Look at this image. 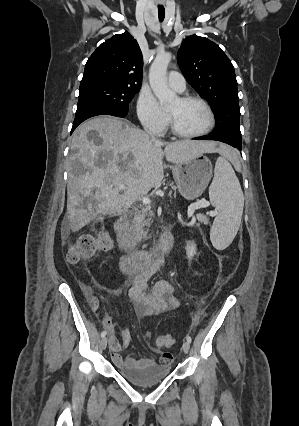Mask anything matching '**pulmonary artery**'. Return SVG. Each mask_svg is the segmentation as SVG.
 <instances>
[{"label": "pulmonary artery", "instance_id": "pulmonary-artery-1", "mask_svg": "<svg viewBox=\"0 0 299 426\" xmlns=\"http://www.w3.org/2000/svg\"><path fill=\"white\" fill-rule=\"evenodd\" d=\"M167 81L170 87H172L177 92H183L186 89L185 78L181 73L177 71H171L168 74Z\"/></svg>", "mask_w": 299, "mask_h": 426}]
</instances>
